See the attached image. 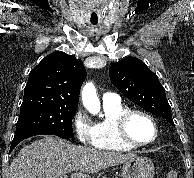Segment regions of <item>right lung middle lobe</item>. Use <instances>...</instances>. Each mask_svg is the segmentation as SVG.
I'll use <instances>...</instances> for the list:
<instances>
[{
  "label": "right lung middle lobe",
  "mask_w": 194,
  "mask_h": 178,
  "mask_svg": "<svg viewBox=\"0 0 194 178\" xmlns=\"http://www.w3.org/2000/svg\"><path fill=\"white\" fill-rule=\"evenodd\" d=\"M77 107L48 98L23 100L16 133L38 130L63 138H73L72 119Z\"/></svg>",
  "instance_id": "obj_1"
}]
</instances>
